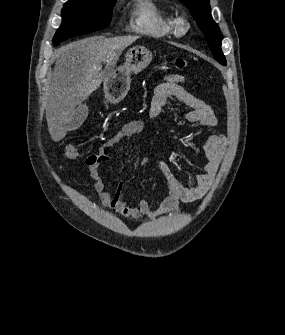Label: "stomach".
I'll list each match as a JSON object with an SVG mask.
<instances>
[{"label": "stomach", "instance_id": "1", "mask_svg": "<svg viewBox=\"0 0 285 335\" xmlns=\"http://www.w3.org/2000/svg\"><path fill=\"white\" fill-rule=\"evenodd\" d=\"M152 54L147 48L143 46H135L127 52L125 56V64L116 68L112 74H108L104 80L103 90L105 98L111 104H118L130 90V76L138 74L141 70H145L152 62Z\"/></svg>", "mask_w": 285, "mask_h": 335}]
</instances>
